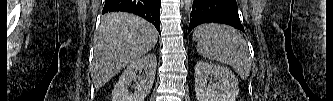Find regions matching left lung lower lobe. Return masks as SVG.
<instances>
[{"label":"left lung lower lobe","instance_id":"left-lung-lower-lobe-1","mask_svg":"<svg viewBox=\"0 0 333 101\" xmlns=\"http://www.w3.org/2000/svg\"><path fill=\"white\" fill-rule=\"evenodd\" d=\"M209 22L227 24L244 32L236 0H194L188 32Z\"/></svg>","mask_w":333,"mask_h":101}]
</instances>
